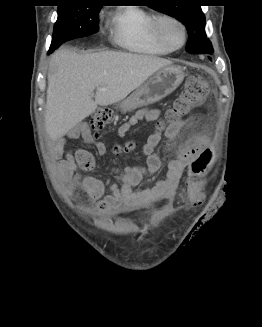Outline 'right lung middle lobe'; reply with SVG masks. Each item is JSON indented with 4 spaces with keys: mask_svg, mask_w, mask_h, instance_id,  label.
Listing matches in <instances>:
<instances>
[{
    "mask_svg": "<svg viewBox=\"0 0 262 327\" xmlns=\"http://www.w3.org/2000/svg\"><path fill=\"white\" fill-rule=\"evenodd\" d=\"M96 2H69L58 6V18L48 53L65 41L88 36L99 30L98 14L101 6Z\"/></svg>",
    "mask_w": 262,
    "mask_h": 327,
    "instance_id": "right-lung-middle-lobe-1",
    "label": "right lung middle lobe"
}]
</instances>
